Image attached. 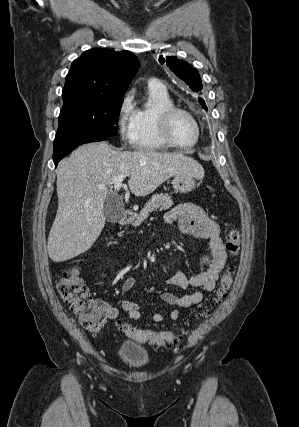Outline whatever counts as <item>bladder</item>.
<instances>
[{
  "label": "bladder",
  "mask_w": 299,
  "mask_h": 427,
  "mask_svg": "<svg viewBox=\"0 0 299 427\" xmlns=\"http://www.w3.org/2000/svg\"><path fill=\"white\" fill-rule=\"evenodd\" d=\"M118 354L124 364L133 369H138L147 365L150 359L147 350L135 342L128 340L121 342Z\"/></svg>",
  "instance_id": "31cf9c89"
}]
</instances>
